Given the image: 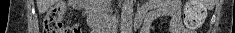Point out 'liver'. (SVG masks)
<instances>
[{
  "mask_svg": "<svg viewBox=\"0 0 235 33\" xmlns=\"http://www.w3.org/2000/svg\"><path fill=\"white\" fill-rule=\"evenodd\" d=\"M37 8L40 14L45 13L54 3V0H37Z\"/></svg>",
  "mask_w": 235,
  "mask_h": 33,
  "instance_id": "1",
  "label": "liver"
}]
</instances>
